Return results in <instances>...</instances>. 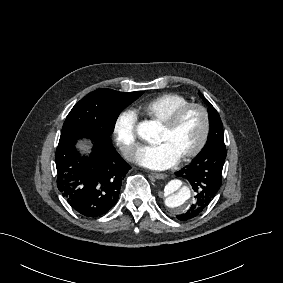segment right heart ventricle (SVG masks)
Segmentation results:
<instances>
[{"label": "right heart ventricle", "mask_w": 283, "mask_h": 283, "mask_svg": "<svg viewBox=\"0 0 283 283\" xmlns=\"http://www.w3.org/2000/svg\"><path fill=\"white\" fill-rule=\"evenodd\" d=\"M188 103H190V100L182 94L165 93L137 102L133 107V111L137 117L161 123L170 112Z\"/></svg>", "instance_id": "obj_1"}]
</instances>
